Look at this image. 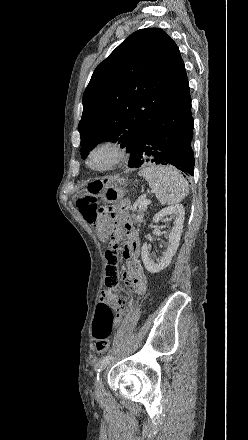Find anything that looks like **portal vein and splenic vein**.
<instances>
[{"label":"portal vein and splenic vein","mask_w":248,"mask_h":440,"mask_svg":"<svg viewBox=\"0 0 248 440\" xmlns=\"http://www.w3.org/2000/svg\"><path fill=\"white\" fill-rule=\"evenodd\" d=\"M148 204H150V200H148V199H144L142 202H141V206H147Z\"/></svg>","instance_id":"1"}]
</instances>
